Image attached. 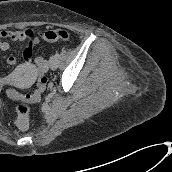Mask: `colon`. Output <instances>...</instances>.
I'll return each instance as SVG.
<instances>
[{"label": "colon", "instance_id": "5ec220e1", "mask_svg": "<svg viewBox=\"0 0 172 172\" xmlns=\"http://www.w3.org/2000/svg\"><path fill=\"white\" fill-rule=\"evenodd\" d=\"M44 38L47 41H68L70 39V34L63 29H55L45 31ZM36 65L41 73L37 79L36 89L31 94H21L15 89H8L7 94L10 98L18 100L19 103L15 107V122L21 130H26L29 127L28 116L31 113L30 104L36 103L40 100L42 93L44 92L47 84V77L43 74L45 69V61L42 57H37L35 59Z\"/></svg>", "mask_w": 172, "mask_h": 172}]
</instances>
